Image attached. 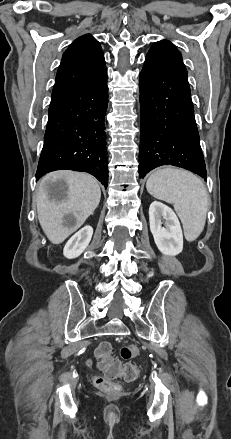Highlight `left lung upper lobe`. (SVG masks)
I'll return each mask as SVG.
<instances>
[{
  "label": "left lung upper lobe",
  "mask_w": 231,
  "mask_h": 439,
  "mask_svg": "<svg viewBox=\"0 0 231 439\" xmlns=\"http://www.w3.org/2000/svg\"><path fill=\"white\" fill-rule=\"evenodd\" d=\"M153 46L169 51L184 66L180 52L171 42L162 40L154 43Z\"/></svg>",
  "instance_id": "obj_1"
}]
</instances>
